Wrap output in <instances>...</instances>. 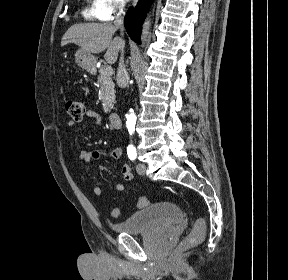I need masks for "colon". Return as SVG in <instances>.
Listing matches in <instances>:
<instances>
[{
  "label": "colon",
  "instance_id": "5ec220e1",
  "mask_svg": "<svg viewBox=\"0 0 288 280\" xmlns=\"http://www.w3.org/2000/svg\"><path fill=\"white\" fill-rule=\"evenodd\" d=\"M65 108L69 116L75 120L80 121L82 120L84 114H85V108L81 102L74 101V100H68L65 103ZM149 204V200L147 197H141L137 202L138 208H144ZM111 216L113 218H118L120 216V209L114 208L111 211ZM205 233V222L202 218H198L191 230V233L188 238L189 243H197L200 240H202Z\"/></svg>",
  "mask_w": 288,
  "mask_h": 280
}]
</instances>
